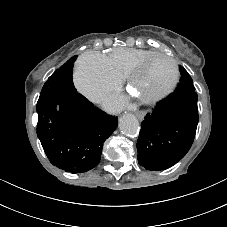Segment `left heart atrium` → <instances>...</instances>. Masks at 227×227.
<instances>
[{
    "instance_id": "39dd6f15",
    "label": "left heart atrium",
    "mask_w": 227,
    "mask_h": 227,
    "mask_svg": "<svg viewBox=\"0 0 227 227\" xmlns=\"http://www.w3.org/2000/svg\"><path fill=\"white\" fill-rule=\"evenodd\" d=\"M125 100L119 96H112L106 101V107L112 110L119 109L123 106Z\"/></svg>"
}]
</instances>
